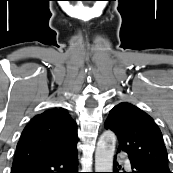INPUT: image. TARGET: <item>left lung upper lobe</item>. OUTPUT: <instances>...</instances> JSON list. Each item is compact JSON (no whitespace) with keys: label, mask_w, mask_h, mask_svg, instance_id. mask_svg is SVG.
<instances>
[{"label":"left lung upper lobe","mask_w":173,"mask_h":173,"mask_svg":"<svg viewBox=\"0 0 173 173\" xmlns=\"http://www.w3.org/2000/svg\"><path fill=\"white\" fill-rule=\"evenodd\" d=\"M104 126L117 135L118 151H125L129 158L171 173L161 131L147 113L130 103L122 102L111 109Z\"/></svg>","instance_id":"obj_1"}]
</instances>
